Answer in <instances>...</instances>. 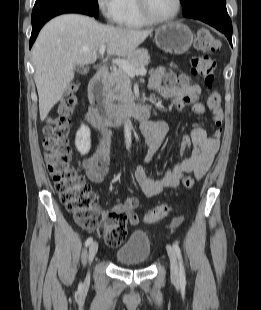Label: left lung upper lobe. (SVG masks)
<instances>
[{
    "instance_id": "left-lung-upper-lobe-1",
    "label": "left lung upper lobe",
    "mask_w": 261,
    "mask_h": 310,
    "mask_svg": "<svg viewBox=\"0 0 261 310\" xmlns=\"http://www.w3.org/2000/svg\"><path fill=\"white\" fill-rule=\"evenodd\" d=\"M183 15L188 18L213 15L226 10V0H180Z\"/></svg>"
}]
</instances>
